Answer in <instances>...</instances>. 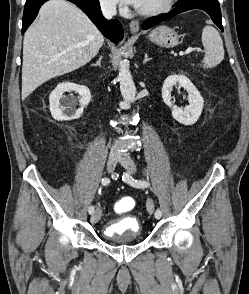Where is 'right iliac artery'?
<instances>
[{
	"instance_id": "obj_1",
	"label": "right iliac artery",
	"mask_w": 249,
	"mask_h": 294,
	"mask_svg": "<svg viewBox=\"0 0 249 294\" xmlns=\"http://www.w3.org/2000/svg\"><path fill=\"white\" fill-rule=\"evenodd\" d=\"M101 183L103 185H108L110 183V179L107 177H104V178H102ZM88 212H89V214H93L94 213V206H90L88 208Z\"/></svg>"
}]
</instances>
